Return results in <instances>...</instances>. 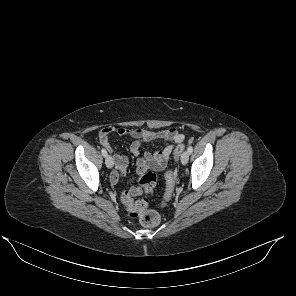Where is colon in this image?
I'll list each match as a JSON object with an SVG mask.
<instances>
[{"instance_id":"5ec220e1","label":"colon","mask_w":296,"mask_h":296,"mask_svg":"<svg viewBox=\"0 0 296 296\" xmlns=\"http://www.w3.org/2000/svg\"><path fill=\"white\" fill-rule=\"evenodd\" d=\"M185 145L178 144L174 150L175 159H177L180 154L184 151ZM166 179V193L163 201V205H165L171 198L173 187H174V173L172 171H168L165 174ZM139 186L147 193L152 194L154 192L156 186V175L153 171H146L139 180ZM122 201L127 207L129 214L132 217L138 218L139 222L142 226L147 228L156 227L160 221V215L153 210L148 209V201L147 199H140L138 201H133L132 197L125 193L122 196Z\"/></svg>"}]
</instances>
